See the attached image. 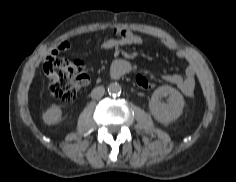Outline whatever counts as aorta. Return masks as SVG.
<instances>
[{
	"instance_id": "1",
	"label": "aorta",
	"mask_w": 236,
	"mask_h": 182,
	"mask_svg": "<svg viewBox=\"0 0 236 182\" xmlns=\"http://www.w3.org/2000/svg\"><path fill=\"white\" fill-rule=\"evenodd\" d=\"M122 91L121 85L116 82H112L108 85V93L110 95H119Z\"/></svg>"
}]
</instances>
